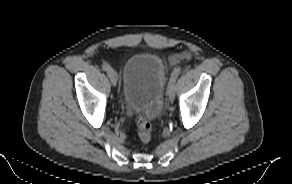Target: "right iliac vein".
Listing matches in <instances>:
<instances>
[{
	"mask_svg": "<svg viewBox=\"0 0 292 184\" xmlns=\"http://www.w3.org/2000/svg\"><path fill=\"white\" fill-rule=\"evenodd\" d=\"M108 77L110 78V81L113 86L117 85V73L114 69H110L108 71Z\"/></svg>",
	"mask_w": 292,
	"mask_h": 184,
	"instance_id": "1",
	"label": "right iliac vein"
}]
</instances>
